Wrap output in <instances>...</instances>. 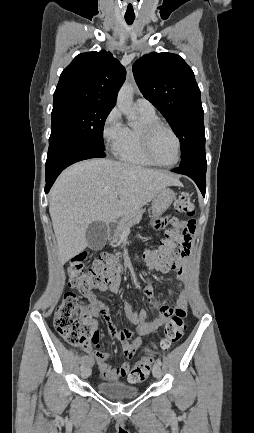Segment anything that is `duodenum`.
Segmentation results:
<instances>
[{"mask_svg":"<svg viewBox=\"0 0 254 433\" xmlns=\"http://www.w3.org/2000/svg\"><path fill=\"white\" fill-rule=\"evenodd\" d=\"M113 229H114V224L111 223V224L109 225V227H108V232H109V233H112Z\"/></svg>","mask_w":254,"mask_h":433,"instance_id":"410a0bca","label":"duodenum"}]
</instances>
